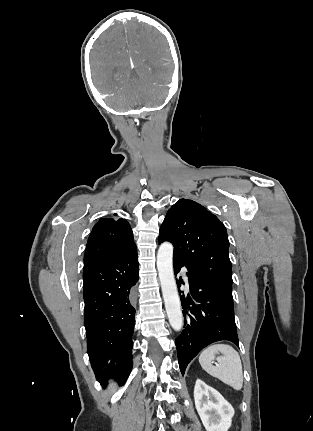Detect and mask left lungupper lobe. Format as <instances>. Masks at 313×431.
<instances>
[{"label":"left lung upper lobe","mask_w":313,"mask_h":431,"mask_svg":"<svg viewBox=\"0 0 313 431\" xmlns=\"http://www.w3.org/2000/svg\"><path fill=\"white\" fill-rule=\"evenodd\" d=\"M158 241L171 242L173 258L194 276L232 289L226 228L204 206L192 200L177 201L166 214Z\"/></svg>","instance_id":"1"}]
</instances>
